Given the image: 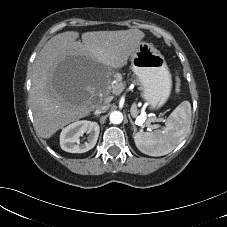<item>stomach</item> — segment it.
Instances as JSON below:
<instances>
[{"instance_id":"stomach-1","label":"stomach","mask_w":227,"mask_h":227,"mask_svg":"<svg viewBox=\"0 0 227 227\" xmlns=\"http://www.w3.org/2000/svg\"><path fill=\"white\" fill-rule=\"evenodd\" d=\"M131 68L139 81L142 97L151 109H159L168 100L172 79L164 56L147 42H140L131 55Z\"/></svg>"}]
</instances>
